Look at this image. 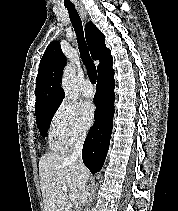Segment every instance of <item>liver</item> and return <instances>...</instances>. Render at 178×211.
Instances as JSON below:
<instances>
[{"mask_svg": "<svg viewBox=\"0 0 178 211\" xmlns=\"http://www.w3.org/2000/svg\"><path fill=\"white\" fill-rule=\"evenodd\" d=\"M89 170L68 156L50 152L39 160L40 187L44 211H72L67 193L83 201L82 190L89 178ZM67 187V192L62 187Z\"/></svg>", "mask_w": 178, "mask_h": 211, "instance_id": "obj_1", "label": "liver"}]
</instances>
